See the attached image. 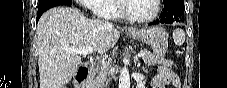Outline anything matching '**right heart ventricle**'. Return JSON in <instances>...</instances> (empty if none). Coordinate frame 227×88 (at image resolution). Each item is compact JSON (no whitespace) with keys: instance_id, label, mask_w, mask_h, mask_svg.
Segmentation results:
<instances>
[{"instance_id":"1","label":"right heart ventricle","mask_w":227,"mask_h":88,"mask_svg":"<svg viewBox=\"0 0 227 88\" xmlns=\"http://www.w3.org/2000/svg\"><path fill=\"white\" fill-rule=\"evenodd\" d=\"M117 0L99 1L95 5V13L102 18L118 17L119 13L116 8Z\"/></svg>"}]
</instances>
